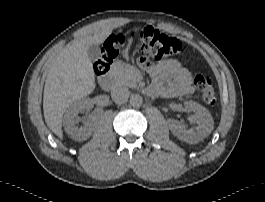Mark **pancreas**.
<instances>
[{"label":"pancreas","instance_id":"pancreas-1","mask_svg":"<svg viewBox=\"0 0 265 202\" xmlns=\"http://www.w3.org/2000/svg\"><path fill=\"white\" fill-rule=\"evenodd\" d=\"M112 73L117 83L132 88L137 86L139 72L135 67L116 61L112 66Z\"/></svg>","mask_w":265,"mask_h":202}]
</instances>
